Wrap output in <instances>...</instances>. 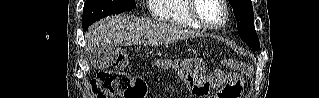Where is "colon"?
<instances>
[{
	"mask_svg": "<svg viewBox=\"0 0 319 98\" xmlns=\"http://www.w3.org/2000/svg\"><path fill=\"white\" fill-rule=\"evenodd\" d=\"M115 63L117 66H125L127 54L123 49H119L116 54ZM160 66H170V62L159 63ZM236 66L247 73L249 67L243 63H236ZM212 78L217 81L218 76ZM243 86V79L234 76L225 84L212 98H237L240 96ZM90 89L95 98H144L146 95V85L139 77H131L123 72H102L91 81Z\"/></svg>",
	"mask_w": 319,
	"mask_h": 98,
	"instance_id": "colon-1",
	"label": "colon"
}]
</instances>
